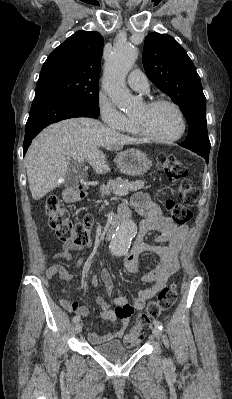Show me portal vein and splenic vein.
I'll return each mask as SVG.
<instances>
[{
	"instance_id": "1",
	"label": "portal vein and splenic vein",
	"mask_w": 232,
	"mask_h": 399,
	"mask_svg": "<svg viewBox=\"0 0 232 399\" xmlns=\"http://www.w3.org/2000/svg\"><path fill=\"white\" fill-rule=\"evenodd\" d=\"M83 160H77V164H82ZM116 196H127L129 194V190H122V192H114Z\"/></svg>"
}]
</instances>
